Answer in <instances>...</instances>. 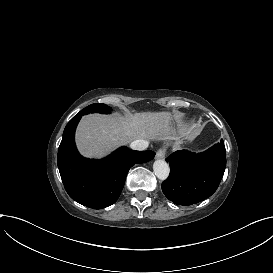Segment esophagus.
<instances>
[{"instance_id": "1", "label": "esophagus", "mask_w": 273, "mask_h": 273, "mask_svg": "<svg viewBox=\"0 0 273 273\" xmlns=\"http://www.w3.org/2000/svg\"><path fill=\"white\" fill-rule=\"evenodd\" d=\"M166 155V150L161 148L156 152V158L157 159H163Z\"/></svg>"}]
</instances>
